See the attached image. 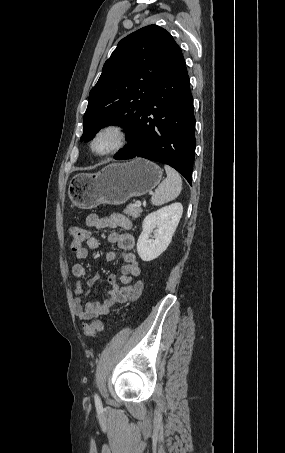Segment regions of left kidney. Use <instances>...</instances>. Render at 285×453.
Segmentation results:
<instances>
[{"label":"left kidney","mask_w":285,"mask_h":453,"mask_svg":"<svg viewBox=\"0 0 285 453\" xmlns=\"http://www.w3.org/2000/svg\"><path fill=\"white\" fill-rule=\"evenodd\" d=\"M182 213V204L173 203L146 216L137 241V252L143 261L154 260L167 249ZM154 229V237L149 239Z\"/></svg>","instance_id":"1"}]
</instances>
